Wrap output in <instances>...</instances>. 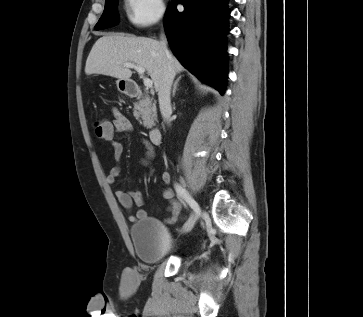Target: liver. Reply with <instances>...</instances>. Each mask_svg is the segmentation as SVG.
I'll return each instance as SVG.
<instances>
[{"label":"liver","mask_w":363,"mask_h":317,"mask_svg":"<svg viewBox=\"0 0 363 317\" xmlns=\"http://www.w3.org/2000/svg\"><path fill=\"white\" fill-rule=\"evenodd\" d=\"M175 73H180L183 66L172 56ZM123 63L142 66L150 75L154 88L159 89L166 63V57L159 41L146 38L110 34L99 38L93 45L85 66L86 75L101 74L118 79L129 80L132 71Z\"/></svg>","instance_id":"obj_1"}]
</instances>
